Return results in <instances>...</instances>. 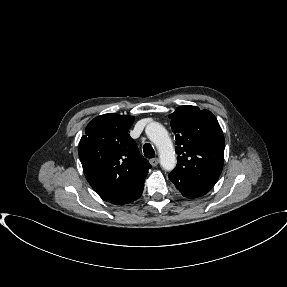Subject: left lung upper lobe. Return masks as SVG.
Masks as SVG:
<instances>
[{"mask_svg": "<svg viewBox=\"0 0 287 287\" xmlns=\"http://www.w3.org/2000/svg\"><path fill=\"white\" fill-rule=\"evenodd\" d=\"M175 133L177 166L169 179L182 195L200 197L219 178L224 160V136L208 110L184 105L169 115Z\"/></svg>", "mask_w": 287, "mask_h": 287, "instance_id": "left-lung-upper-lobe-1", "label": "left lung upper lobe"}]
</instances>
